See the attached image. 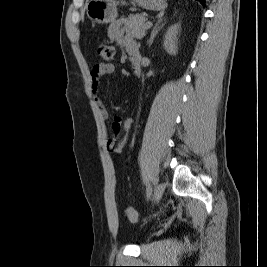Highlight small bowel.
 I'll list each match as a JSON object with an SVG mask.
<instances>
[{"label":"small bowel","mask_w":267,"mask_h":267,"mask_svg":"<svg viewBox=\"0 0 267 267\" xmlns=\"http://www.w3.org/2000/svg\"><path fill=\"white\" fill-rule=\"evenodd\" d=\"M108 37L110 40L119 43L123 46L131 60L135 57L140 58L139 49L137 44L124 33L122 29V23L115 21L109 26ZM115 72V66L110 63H98L91 70V88L92 93L95 95V102L98 107L100 116L107 120L109 113L103 105L100 98L97 96L99 92L100 81L104 76L111 75ZM134 120L132 118L123 119L120 116H115L112 123L113 135L107 138L106 147L109 151L120 154L129 138L130 130L133 126ZM121 135L120 137H118Z\"/></svg>","instance_id":"obj_1"}]
</instances>
